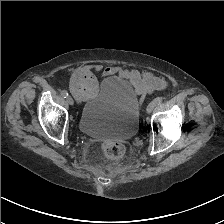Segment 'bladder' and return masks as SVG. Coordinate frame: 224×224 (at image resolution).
<instances>
[{
	"mask_svg": "<svg viewBox=\"0 0 224 224\" xmlns=\"http://www.w3.org/2000/svg\"><path fill=\"white\" fill-rule=\"evenodd\" d=\"M79 130L92 138H133L139 127V104L115 79H105L81 109Z\"/></svg>",
	"mask_w": 224,
	"mask_h": 224,
	"instance_id": "31cf9c89",
	"label": "bladder"
}]
</instances>
